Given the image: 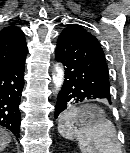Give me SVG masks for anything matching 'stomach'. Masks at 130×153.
Returning <instances> with one entry per match:
<instances>
[{
  "label": "stomach",
  "instance_id": "1",
  "mask_svg": "<svg viewBox=\"0 0 130 153\" xmlns=\"http://www.w3.org/2000/svg\"><path fill=\"white\" fill-rule=\"evenodd\" d=\"M82 116L80 118L81 123L78 126L84 124H94L98 120L104 119L105 115L102 110L94 105H85L82 107Z\"/></svg>",
  "mask_w": 130,
  "mask_h": 153
}]
</instances>
